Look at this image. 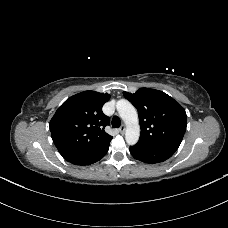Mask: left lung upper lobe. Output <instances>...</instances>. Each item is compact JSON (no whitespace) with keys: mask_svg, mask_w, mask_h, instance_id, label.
I'll return each instance as SVG.
<instances>
[{"mask_svg":"<svg viewBox=\"0 0 228 228\" xmlns=\"http://www.w3.org/2000/svg\"><path fill=\"white\" fill-rule=\"evenodd\" d=\"M138 110L141 134L138 145L176 151L186 131L185 109L166 93L140 88L123 92Z\"/></svg>","mask_w":228,"mask_h":228,"instance_id":"1","label":"left lung upper lobe"}]
</instances>
